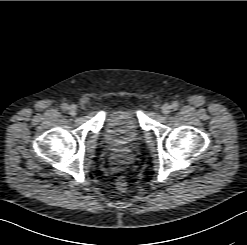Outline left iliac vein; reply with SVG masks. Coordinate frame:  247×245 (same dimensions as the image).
<instances>
[{"instance_id":"4c4485c4","label":"left iliac vein","mask_w":247,"mask_h":245,"mask_svg":"<svg viewBox=\"0 0 247 245\" xmlns=\"http://www.w3.org/2000/svg\"><path fill=\"white\" fill-rule=\"evenodd\" d=\"M172 106L169 105L168 103H165L161 107V111L164 115H168L171 112Z\"/></svg>"}]
</instances>
